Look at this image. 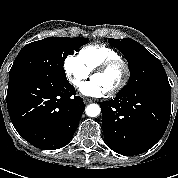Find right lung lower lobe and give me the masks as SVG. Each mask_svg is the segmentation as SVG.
<instances>
[{
  "instance_id": "right-lung-lower-lobe-1",
  "label": "right lung lower lobe",
  "mask_w": 178,
  "mask_h": 178,
  "mask_svg": "<svg viewBox=\"0 0 178 178\" xmlns=\"http://www.w3.org/2000/svg\"><path fill=\"white\" fill-rule=\"evenodd\" d=\"M63 77L10 79L7 107L16 131L33 146L55 150L65 146L84 111L83 99Z\"/></svg>"
}]
</instances>
